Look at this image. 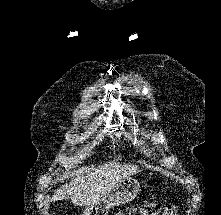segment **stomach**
Returning <instances> with one entry per match:
<instances>
[{"label": "stomach", "mask_w": 221, "mask_h": 215, "mask_svg": "<svg viewBox=\"0 0 221 215\" xmlns=\"http://www.w3.org/2000/svg\"><path fill=\"white\" fill-rule=\"evenodd\" d=\"M139 192V182L130 177L125 178L99 202L86 207L83 215H107L110 208L129 203L138 195Z\"/></svg>", "instance_id": "obj_1"}]
</instances>
